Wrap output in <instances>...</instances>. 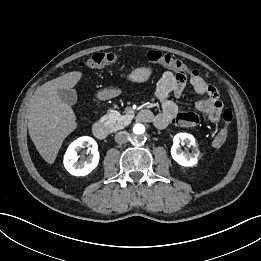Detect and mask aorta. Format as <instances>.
<instances>
[{
	"mask_svg": "<svg viewBox=\"0 0 261 261\" xmlns=\"http://www.w3.org/2000/svg\"><path fill=\"white\" fill-rule=\"evenodd\" d=\"M145 126L143 124H135L133 126V135L138 139L142 140L145 135Z\"/></svg>",
	"mask_w": 261,
	"mask_h": 261,
	"instance_id": "aorta-1",
	"label": "aorta"
}]
</instances>
